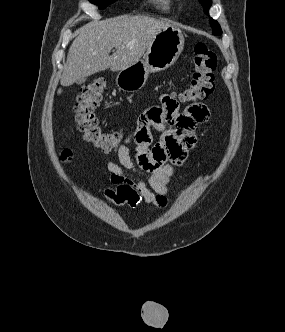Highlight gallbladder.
Returning a JSON list of instances; mask_svg holds the SVG:
<instances>
[{
    "mask_svg": "<svg viewBox=\"0 0 285 332\" xmlns=\"http://www.w3.org/2000/svg\"><path fill=\"white\" fill-rule=\"evenodd\" d=\"M85 80H86V78H81V79L77 80L76 83L77 84H82V83L85 82Z\"/></svg>",
    "mask_w": 285,
    "mask_h": 332,
    "instance_id": "gallbladder-1",
    "label": "gallbladder"
}]
</instances>
